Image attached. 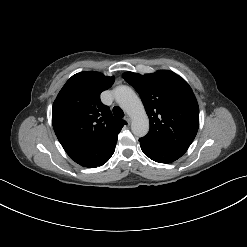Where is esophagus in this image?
Listing matches in <instances>:
<instances>
[{
  "label": "esophagus",
  "instance_id": "34e87169",
  "mask_svg": "<svg viewBox=\"0 0 247 247\" xmlns=\"http://www.w3.org/2000/svg\"><path fill=\"white\" fill-rule=\"evenodd\" d=\"M125 120H126L128 123H131V118H130L128 115L125 116Z\"/></svg>",
  "mask_w": 247,
  "mask_h": 247
}]
</instances>
